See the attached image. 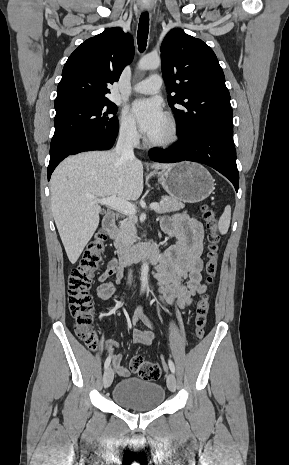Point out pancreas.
I'll list each match as a JSON object with an SVG mask.
<instances>
[{
    "label": "pancreas",
    "instance_id": "pancreas-1",
    "mask_svg": "<svg viewBox=\"0 0 289 465\" xmlns=\"http://www.w3.org/2000/svg\"><path fill=\"white\" fill-rule=\"evenodd\" d=\"M185 205L180 202L179 200L169 197L163 196L162 203L159 205V208L155 211L157 213H166V212H173L179 211L183 209ZM137 220L135 217L131 216L128 219H125L121 222L119 229L116 231L115 235V245L118 248L129 247L136 241V224Z\"/></svg>",
    "mask_w": 289,
    "mask_h": 465
}]
</instances>
